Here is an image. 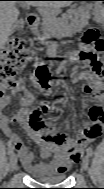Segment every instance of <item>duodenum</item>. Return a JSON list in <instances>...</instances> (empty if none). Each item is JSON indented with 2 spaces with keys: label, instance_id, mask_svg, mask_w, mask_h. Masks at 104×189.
I'll return each mask as SVG.
<instances>
[{
  "label": "duodenum",
  "instance_id": "obj_1",
  "mask_svg": "<svg viewBox=\"0 0 104 189\" xmlns=\"http://www.w3.org/2000/svg\"><path fill=\"white\" fill-rule=\"evenodd\" d=\"M26 24L31 31H34L38 26V20L34 16H29L27 17Z\"/></svg>",
  "mask_w": 104,
  "mask_h": 189
}]
</instances>
